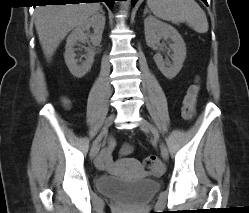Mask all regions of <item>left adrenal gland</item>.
I'll return each mask as SVG.
<instances>
[{
	"label": "left adrenal gland",
	"mask_w": 249,
	"mask_h": 213,
	"mask_svg": "<svg viewBox=\"0 0 249 213\" xmlns=\"http://www.w3.org/2000/svg\"><path fill=\"white\" fill-rule=\"evenodd\" d=\"M147 13H149V10H148V8H147V7H145V10H144V16H145Z\"/></svg>",
	"instance_id": "obj_1"
}]
</instances>
